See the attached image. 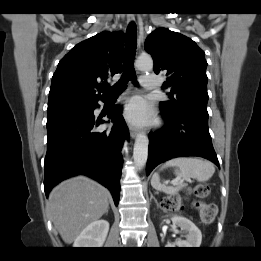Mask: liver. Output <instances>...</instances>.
<instances>
[{
    "instance_id": "obj_1",
    "label": "liver",
    "mask_w": 261,
    "mask_h": 261,
    "mask_svg": "<svg viewBox=\"0 0 261 261\" xmlns=\"http://www.w3.org/2000/svg\"><path fill=\"white\" fill-rule=\"evenodd\" d=\"M109 191L97 182L78 176L55 187L48 210L63 241L72 243L90 223L108 211Z\"/></svg>"
}]
</instances>
